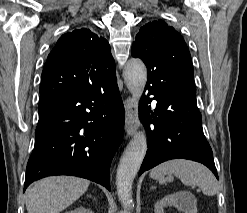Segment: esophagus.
<instances>
[{"mask_svg":"<svg viewBox=\"0 0 247 213\" xmlns=\"http://www.w3.org/2000/svg\"><path fill=\"white\" fill-rule=\"evenodd\" d=\"M126 116H125V130L127 135H133L138 128V113L137 103L134 97H128L124 101Z\"/></svg>","mask_w":247,"mask_h":213,"instance_id":"esophagus-1","label":"esophagus"}]
</instances>
